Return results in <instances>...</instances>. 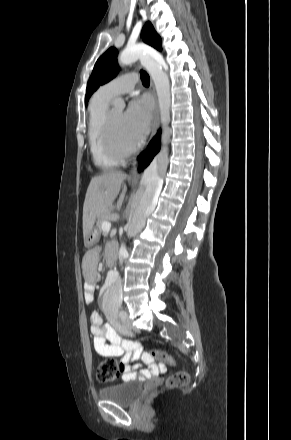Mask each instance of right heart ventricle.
Listing matches in <instances>:
<instances>
[{
  "instance_id": "right-heart-ventricle-1",
  "label": "right heart ventricle",
  "mask_w": 291,
  "mask_h": 440,
  "mask_svg": "<svg viewBox=\"0 0 291 440\" xmlns=\"http://www.w3.org/2000/svg\"><path fill=\"white\" fill-rule=\"evenodd\" d=\"M110 99L103 97L99 90L93 96L89 105L88 141L93 162L101 168L116 167L119 160L112 158L106 151L102 127L108 113Z\"/></svg>"
}]
</instances>
